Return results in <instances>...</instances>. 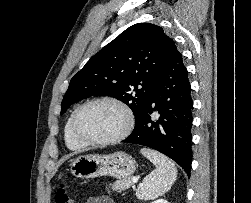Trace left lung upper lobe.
<instances>
[{
    "label": "left lung upper lobe",
    "mask_w": 251,
    "mask_h": 203,
    "mask_svg": "<svg viewBox=\"0 0 251 203\" xmlns=\"http://www.w3.org/2000/svg\"><path fill=\"white\" fill-rule=\"evenodd\" d=\"M174 45L163 29L154 24L137 23L127 28L71 79L61 114L79 100L107 95L127 104L136 122Z\"/></svg>",
    "instance_id": "1"
}]
</instances>
